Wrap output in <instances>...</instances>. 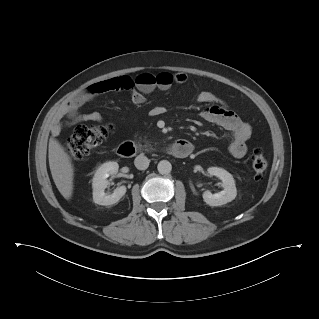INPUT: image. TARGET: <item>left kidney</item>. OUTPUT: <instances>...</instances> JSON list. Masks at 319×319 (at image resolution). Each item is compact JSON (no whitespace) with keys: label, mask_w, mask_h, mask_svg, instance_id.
Instances as JSON below:
<instances>
[{"label":"left kidney","mask_w":319,"mask_h":319,"mask_svg":"<svg viewBox=\"0 0 319 319\" xmlns=\"http://www.w3.org/2000/svg\"><path fill=\"white\" fill-rule=\"evenodd\" d=\"M207 172L210 176H216L222 181L223 190L216 194L205 191L203 193L204 201L210 206H221L234 200L237 190L233 176L226 170L218 167H209Z\"/></svg>","instance_id":"1"}]
</instances>
